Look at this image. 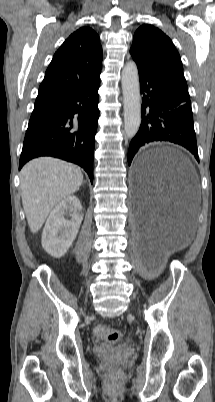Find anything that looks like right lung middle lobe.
Here are the masks:
<instances>
[{
	"label": "right lung middle lobe",
	"instance_id": "obj_1",
	"mask_svg": "<svg viewBox=\"0 0 215 402\" xmlns=\"http://www.w3.org/2000/svg\"><path fill=\"white\" fill-rule=\"evenodd\" d=\"M51 105L52 103H35L30 120L46 111Z\"/></svg>",
	"mask_w": 215,
	"mask_h": 402
}]
</instances>
